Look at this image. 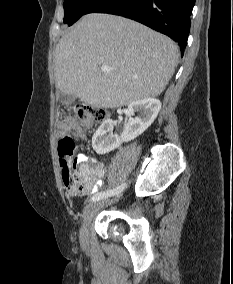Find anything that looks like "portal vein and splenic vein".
<instances>
[{"label": "portal vein and splenic vein", "instance_id": "obj_1", "mask_svg": "<svg viewBox=\"0 0 233 284\" xmlns=\"http://www.w3.org/2000/svg\"><path fill=\"white\" fill-rule=\"evenodd\" d=\"M101 70L104 71V72L108 71L109 67L107 65H103V66H101Z\"/></svg>", "mask_w": 233, "mask_h": 284}]
</instances>
